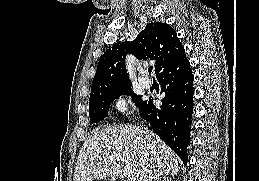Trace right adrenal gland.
Wrapping results in <instances>:
<instances>
[{
  "mask_svg": "<svg viewBox=\"0 0 259 181\" xmlns=\"http://www.w3.org/2000/svg\"><path fill=\"white\" fill-rule=\"evenodd\" d=\"M171 181L169 177H163L162 175L158 176L155 180L153 181Z\"/></svg>",
  "mask_w": 259,
  "mask_h": 181,
  "instance_id": "right-adrenal-gland-1",
  "label": "right adrenal gland"
}]
</instances>
